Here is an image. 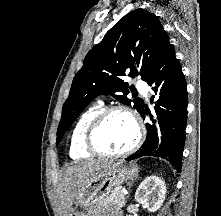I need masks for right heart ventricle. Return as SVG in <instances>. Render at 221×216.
I'll use <instances>...</instances> for the list:
<instances>
[{"label":"right heart ventricle","mask_w":221,"mask_h":216,"mask_svg":"<svg viewBox=\"0 0 221 216\" xmlns=\"http://www.w3.org/2000/svg\"><path fill=\"white\" fill-rule=\"evenodd\" d=\"M103 109L101 102L87 108L76 121L69 142V155L73 159L91 157L92 154L84 146V134L89 123Z\"/></svg>","instance_id":"1"}]
</instances>
